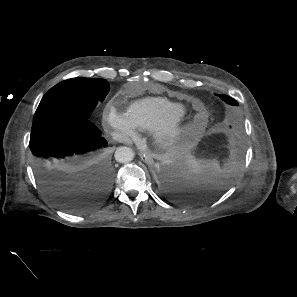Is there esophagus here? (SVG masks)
Masks as SVG:
<instances>
[{"label":"esophagus","mask_w":297,"mask_h":297,"mask_svg":"<svg viewBox=\"0 0 297 297\" xmlns=\"http://www.w3.org/2000/svg\"><path fill=\"white\" fill-rule=\"evenodd\" d=\"M140 157L142 161L148 165H151L154 163L153 157L149 153H141Z\"/></svg>","instance_id":"esophagus-1"}]
</instances>
